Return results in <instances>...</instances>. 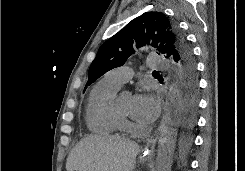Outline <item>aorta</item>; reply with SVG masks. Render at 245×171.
<instances>
[{
    "instance_id": "aorta-1",
    "label": "aorta",
    "mask_w": 245,
    "mask_h": 171,
    "mask_svg": "<svg viewBox=\"0 0 245 171\" xmlns=\"http://www.w3.org/2000/svg\"><path fill=\"white\" fill-rule=\"evenodd\" d=\"M181 91L175 77L169 79L168 95L160 126L155 171H171L177 127L180 121Z\"/></svg>"
}]
</instances>
